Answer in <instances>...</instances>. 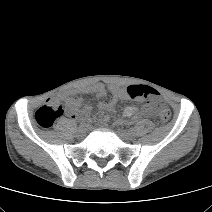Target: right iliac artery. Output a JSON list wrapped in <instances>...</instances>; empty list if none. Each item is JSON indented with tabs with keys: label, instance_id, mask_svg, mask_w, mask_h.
Segmentation results:
<instances>
[{
	"label": "right iliac artery",
	"instance_id": "82829eb1",
	"mask_svg": "<svg viewBox=\"0 0 212 212\" xmlns=\"http://www.w3.org/2000/svg\"><path fill=\"white\" fill-rule=\"evenodd\" d=\"M85 126H87V123H86V122H81V123L79 124V128L85 127Z\"/></svg>",
	"mask_w": 212,
	"mask_h": 212
}]
</instances>
